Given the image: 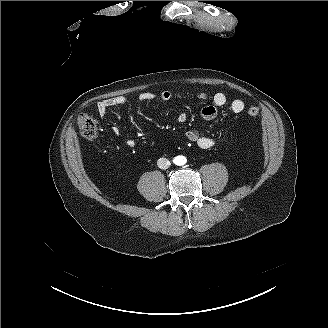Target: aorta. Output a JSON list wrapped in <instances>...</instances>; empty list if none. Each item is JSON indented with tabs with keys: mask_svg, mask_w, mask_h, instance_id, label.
Returning a JSON list of instances; mask_svg holds the SVG:
<instances>
[{
	"mask_svg": "<svg viewBox=\"0 0 328 328\" xmlns=\"http://www.w3.org/2000/svg\"><path fill=\"white\" fill-rule=\"evenodd\" d=\"M186 162H187V160H186V158H185L184 156H178V157H176V159H175V163H176L177 165H179V166H181V165H185Z\"/></svg>",
	"mask_w": 328,
	"mask_h": 328,
	"instance_id": "obj_1",
	"label": "aorta"
}]
</instances>
